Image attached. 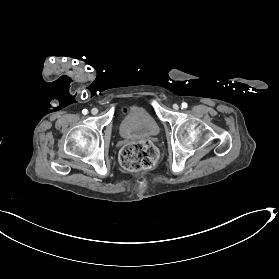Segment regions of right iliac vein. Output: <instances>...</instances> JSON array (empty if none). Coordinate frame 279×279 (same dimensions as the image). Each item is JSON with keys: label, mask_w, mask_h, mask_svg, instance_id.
<instances>
[{"label": "right iliac vein", "mask_w": 279, "mask_h": 279, "mask_svg": "<svg viewBox=\"0 0 279 279\" xmlns=\"http://www.w3.org/2000/svg\"><path fill=\"white\" fill-rule=\"evenodd\" d=\"M91 113H92L93 115H96V114L98 113V109H97V108H93V109L91 110Z\"/></svg>", "instance_id": "1"}]
</instances>
